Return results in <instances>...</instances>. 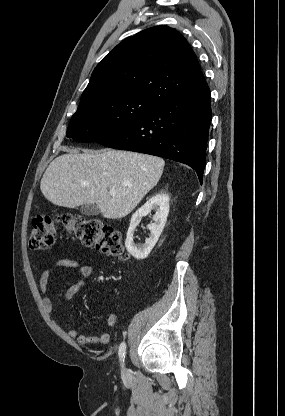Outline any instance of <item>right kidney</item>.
Instances as JSON below:
<instances>
[{
  "mask_svg": "<svg viewBox=\"0 0 285 416\" xmlns=\"http://www.w3.org/2000/svg\"><path fill=\"white\" fill-rule=\"evenodd\" d=\"M151 210H156L153 216L154 224H148L147 228L150 230V238H146L144 246H136L133 242V234L136 226L140 224L143 216L150 214ZM169 214V196L168 194H156L150 198L144 206H141L130 220V226L125 240V248L133 258L136 260H145L151 250H153L156 242H158L161 232L166 224L167 216Z\"/></svg>",
  "mask_w": 285,
  "mask_h": 416,
  "instance_id": "obj_1",
  "label": "right kidney"
}]
</instances>
